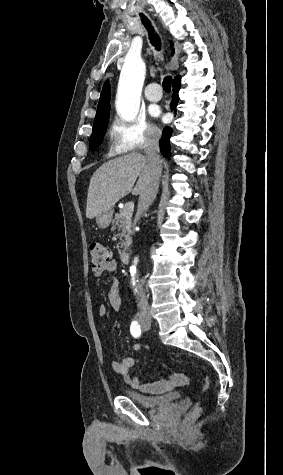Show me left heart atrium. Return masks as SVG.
Masks as SVG:
<instances>
[{
  "label": "left heart atrium",
  "mask_w": 283,
  "mask_h": 475,
  "mask_svg": "<svg viewBox=\"0 0 283 475\" xmlns=\"http://www.w3.org/2000/svg\"><path fill=\"white\" fill-rule=\"evenodd\" d=\"M155 116H156V117H158V116H159V114H155Z\"/></svg>",
  "instance_id": "39dd6f15"
}]
</instances>
